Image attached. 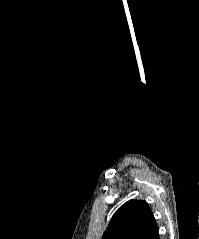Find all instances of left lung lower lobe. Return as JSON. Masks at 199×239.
<instances>
[{
    "label": "left lung lower lobe",
    "instance_id": "1",
    "mask_svg": "<svg viewBox=\"0 0 199 239\" xmlns=\"http://www.w3.org/2000/svg\"><path fill=\"white\" fill-rule=\"evenodd\" d=\"M155 239H160V238H159V233H158V235L156 236V238H155Z\"/></svg>",
    "mask_w": 199,
    "mask_h": 239
}]
</instances>
